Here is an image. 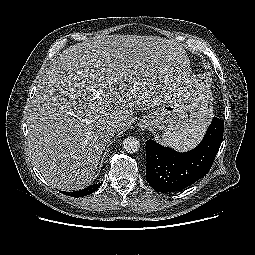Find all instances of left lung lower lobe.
<instances>
[{"label": "left lung lower lobe", "instance_id": "1", "mask_svg": "<svg viewBox=\"0 0 255 255\" xmlns=\"http://www.w3.org/2000/svg\"><path fill=\"white\" fill-rule=\"evenodd\" d=\"M224 121L214 117L201 143L180 153L154 140L146 142V180L158 192L182 190L210 170L223 139Z\"/></svg>", "mask_w": 255, "mask_h": 255}]
</instances>
